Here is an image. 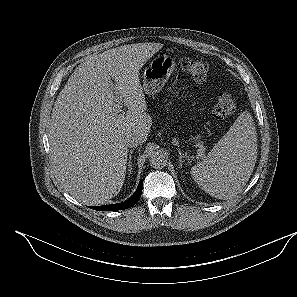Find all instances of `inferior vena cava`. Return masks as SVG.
I'll list each match as a JSON object with an SVG mask.
<instances>
[{
	"label": "inferior vena cava",
	"instance_id": "602c4592",
	"mask_svg": "<svg viewBox=\"0 0 297 297\" xmlns=\"http://www.w3.org/2000/svg\"><path fill=\"white\" fill-rule=\"evenodd\" d=\"M124 143L129 148L135 147L142 143V138L139 135L130 134L125 138Z\"/></svg>",
	"mask_w": 297,
	"mask_h": 297
}]
</instances>
